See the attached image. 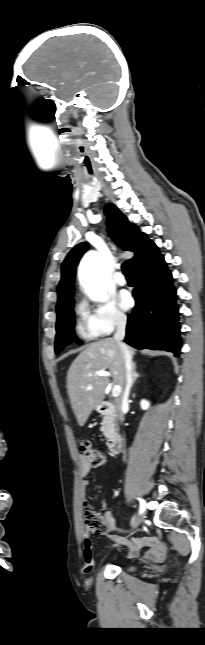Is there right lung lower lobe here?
Instances as JSON below:
<instances>
[{
	"label": "right lung lower lobe",
	"mask_w": 205,
	"mask_h": 645,
	"mask_svg": "<svg viewBox=\"0 0 205 645\" xmlns=\"http://www.w3.org/2000/svg\"><path fill=\"white\" fill-rule=\"evenodd\" d=\"M136 306L128 317L125 342L136 348L166 350L179 355V307L173 277L159 254L134 269Z\"/></svg>",
	"instance_id": "obj_1"
}]
</instances>
